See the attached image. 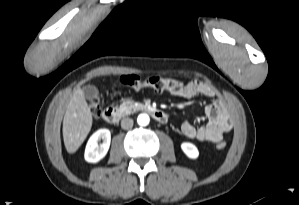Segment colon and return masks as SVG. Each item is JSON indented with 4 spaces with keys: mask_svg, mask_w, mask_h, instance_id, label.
Here are the masks:
<instances>
[{
    "mask_svg": "<svg viewBox=\"0 0 299 205\" xmlns=\"http://www.w3.org/2000/svg\"><path fill=\"white\" fill-rule=\"evenodd\" d=\"M120 85L133 91H140L144 88H151L157 92L162 91H177L184 85L181 81L173 78H167L162 76H151L145 79L136 75L122 76L120 79ZM91 110L94 115L99 113V100L93 98L90 103ZM226 147L224 141H220L216 144V148L222 150Z\"/></svg>",
    "mask_w": 299,
    "mask_h": 205,
    "instance_id": "5ec220e1",
    "label": "colon"
}]
</instances>
